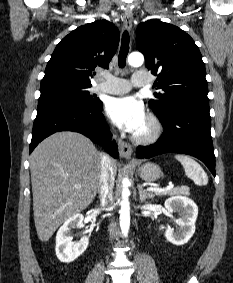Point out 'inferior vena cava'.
Listing matches in <instances>:
<instances>
[{
  "instance_id": "obj_1",
  "label": "inferior vena cava",
  "mask_w": 233,
  "mask_h": 283,
  "mask_svg": "<svg viewBox=\"0 0 233 283\" xmlns=\"http://www.w3.org/2000/svg\"><path fill=\"white\" fill-rule=\"evenodd\" d=\"M113 187H114V171L112 166V159L108 154H103L101 158V176L99 186V198L101 205H107L108 202L113 201ZM110 237L113 238L117 234V225L111 222L108 227Z\"/></svg>"
}]
</instances>
